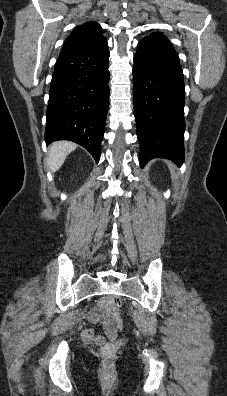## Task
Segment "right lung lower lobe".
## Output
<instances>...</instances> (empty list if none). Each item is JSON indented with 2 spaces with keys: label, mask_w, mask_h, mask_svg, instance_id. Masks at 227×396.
Masks as SVG:
<instances>
[{
  "label": "right lung lower lobe",
  "mask_w": 227,
  "mask_h": 396,
  "mask_svg": "<svg viewBox=\"0 0 227 396\" xmlns=\"http://www.w3.org/2000/svg\"><path fill=\"white\" fill-rule=\"evenodd\" d=\"M109 55L106 39L61 51L50 84L46 144L73 141L98 163L109 104Z\"/></svg>",
  "instance_id": "right-lung-lower-lobe-1"
}]
</instances>
